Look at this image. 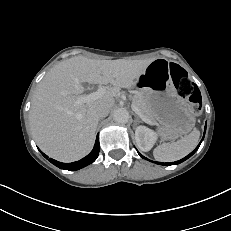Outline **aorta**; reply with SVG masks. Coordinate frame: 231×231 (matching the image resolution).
Returning a JSON list of instances; mask_svg holds the SVG:
<instances>
[{
    "label": "aorta",
    "mask_w": 231,
    "mask_h": 231,
    "mask_svg": "<svg viewBox=\"0 0 231 231\" xmlns=\"http://www.w3.org/2000/svg\"><path fill=\"white\" fill-rule=\"evenodd\" d=\"M113 119L117 123L125 124L129 120V113L125 108H118L113 113Z\"/></svg>",
    "instance_id": "1"
}]
</instances>
